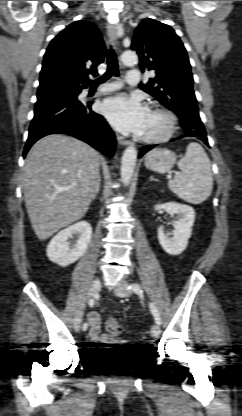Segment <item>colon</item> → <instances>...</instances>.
Returning <instances> with one entry per match:
<instances>
[{"label": "colon", "mask_w": 242, "mask_h": 416, "mask_svg": "<svg viewBox=\"0 0 242 416\" xmlns=\"http://www.w3.org/2000/svg\"><path fill=\"white\" fill-rule=\"evenodd\" d=\"M106 331L113 336L119 335L123 331V324L117 318H109L105 323Z\"/></svg>", "instance_id": "colon-1"}]
</instances>
